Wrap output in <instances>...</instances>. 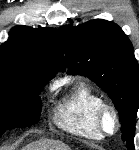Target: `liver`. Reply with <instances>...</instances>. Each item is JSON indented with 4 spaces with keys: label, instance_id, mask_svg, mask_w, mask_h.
Returning a JSON list of instances; mask_svg holds the SVG:
<instances>
[{
    "label": "liver",
    "instance_id": "1",
    "mask_svg": "<svg viewBox=\"0 0 139 150\" xmlns=\"http://www.w3.org/2000/svg\"><path fill=\"white\" fill-rule=\"evenodd\" d=\"M27 150H70L60 141L43 139L27 147Z\"/></svg>",
    "mask_w": 139,
    "mask_h": 150
}]
</instances>
